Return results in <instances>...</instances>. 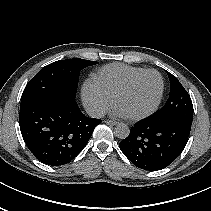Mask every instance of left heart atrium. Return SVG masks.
<instances>
[{
  "label": "left heart atrium",
  "mask_w": 211,
  "mask_h": 211,
  "mask_svg": "<svg viewBox=\"0 0 211 211\" xmlns=\"http://www.w3.org/2000/svg\"><path fill=\"white\" fill-rule=\"evenodd\" d=\"M110 112L112 115L117 116V117H126L127 116L125 111L116 103L111 107Z\"/></svg>",
  "instance_id": "obj_1"
}]
</instances>
